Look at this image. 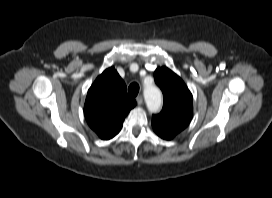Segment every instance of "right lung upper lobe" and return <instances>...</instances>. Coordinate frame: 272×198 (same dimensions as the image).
Segmentation results:
<instances>
[{"label":"right lung upper lobe","mask_w":272,"mask_h":198,"mask_svg":"<svg viewBox=\"0 0 272 198\" xmlns=\"http://www.w3.org/2000/svg\"><path fill=\"white\" fill-rule=\"evenodd\" d=\"M136 101L127 94L124 81L117 71L106 69L87 93L84 115L88 125L101 139L113 138Z\"/></svg>","instance_id":"1"}]
</instances>
